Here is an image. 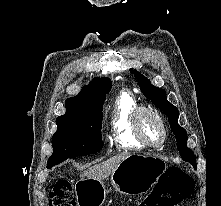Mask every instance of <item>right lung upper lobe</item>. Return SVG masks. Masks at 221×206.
<instances>
[{"label":"right lung upper lobe","instance_id":"obj_1","mask_svg":"<svg viewBox=\"0 0 221 206\" xmlns=\"http://www.w3.org/2000/svg\"><path fill=\"white\" fill-rule=\"evenodd\" d=\"M112 83L109 78H94L81 92L66 100V113H76L103 108L106 94L110 91Z\"/></svg>","mask_w":221,"mask_h":206}]
</instances>
